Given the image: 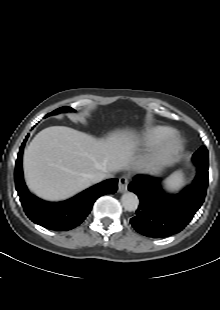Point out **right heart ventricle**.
<instances>
[{
	"label": "right heart ventricle",
	"mask_w": 220,
	"mask_h": 310,
	"mask_svg": "<svg viewBox=\"0 0 220 310\" xmlns=\"http://www.w3.org/2000/svg\"><path fill=\"white\" fill-rule=\"evenodd\" d=\"M172 133L171 129L164 126L147 128L141 134V141L147 146H156Z\"/></svg>",
	"instance_id": "1"
}]
</instances>
